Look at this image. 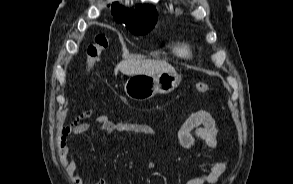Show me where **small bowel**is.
I'll list each match as a JSON object with an SVG mask.
<instances>
[{
    "mask_svg": "<svg viewBox=\"0 0 293 184\" xmlns=\"http://www.w3.org/2000/svg\"><path fill=\"white\" fill-rule=\"evenodd\" d=\"M93 120L98 130L110 136L115 132L141 134L147 137H154L153 129L144 123L138 122H114L106 115H95L94 111L86 110L78 114L71 122L64 126L60 133L62 146L61 162L66 167L68 175L73 184H84L85 177L78 170L77 163L71 155L66 143L76 135L87 132ZM217 124L210 113L205 110H198L190 113L177 131L179 143L186 149H195L200 142H204L211 149L217 148ZM227 162L221 160L215 162L208 171L202 172L188 180L185 184H215L225 172ZM150 163L148 168H153ZM92 184H107L104 179H98Z\"/></svg>",
    "mask_w": 293,
    "mask_h": 184,
    "instance_id": "1",
    "label": "small bowel"
}]
</instances>
